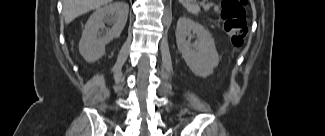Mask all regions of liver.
Returning <instances> with one entry per match:
<instances>
[{
  "mask_svg": "<svg viewBox=\"0 0 325 136\" xmlns=\"http://www.w3.org/2000/svg\"><path fill=\"white\" fill-rule=\"evenodd\" d=\"M111 0H63V15L66 24L90 10L106 5Z\"/></svg>",
  "mask_w": 325,
  "mask_h": 136,
  "instance_id": "1",
  "label": "liver"
}]
</instances>
